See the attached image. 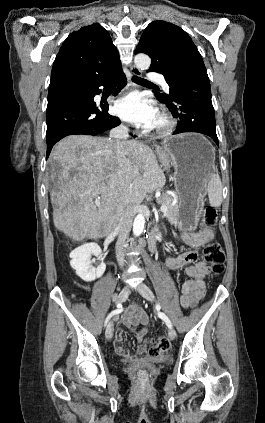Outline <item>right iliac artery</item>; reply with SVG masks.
Returning <instances> with one entry per match:
<instances>
[{
	"mask_svg": "<svg viewBox=\"0 0 265 423\" xmlns=\"http://www.w3.org/2000/svg\"><path fill=\"white\" fill-rule=\"evenodd\" d=\"M122 304H118L117 305V309L116 310H114V311H112L108 316H107V318H106V320H105V325L107 324V322L109 321V319L113 316V315H115V314H118V313H120L121 311H122Z\"/></svg>",
	"mask_w": 265,
	"mask_h": 423,
	"instance_id": "right-iliac-artery-1",
	"label": "right iliac artery"
}]
</instances>
